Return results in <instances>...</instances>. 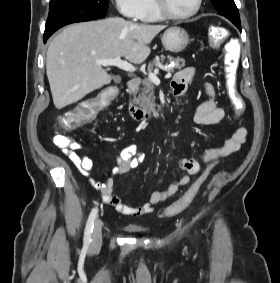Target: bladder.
I'll return each mask as SVG.
<instances>
[{
	"label": "bladder",
	"instance_id": "31cf9c89",
	"mask_svg": "<svg viewBox=\"0 0 280 283\" xmlns=\"http://www.w3.org/2000/svg\"><path fill=\"white\" fill-rule=\"evenodd\" d=\"M124 229L133 232V233H143L147 231V228L140 226V225H134V224H128L124 227Z\"/></svg>",
	"mask_w": 280,
	"mask_h": 283
}]
</instances>
